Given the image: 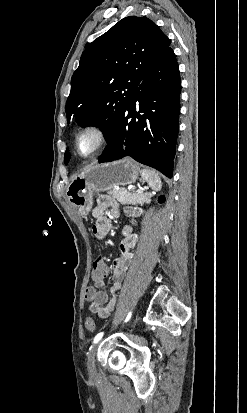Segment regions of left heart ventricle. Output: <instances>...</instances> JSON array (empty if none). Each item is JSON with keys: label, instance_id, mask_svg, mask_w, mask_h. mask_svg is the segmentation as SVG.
I'll use <instances>...</instances> for the list:
<instances>
[{"label": "left heart ventricle", "instance_id": "b2bd125f", "mask_svg": "<svg viewBox=\"0 0 247 413\" xmlns=\"http://www.w3.org/2000/svg\"><path fill=\"white\" fill-rule=\"evenodd\" d=\"M98 142V137L95 134L88 133L81 138V150L83 153L88 154Z\"/></svg>", "mask_w": 247, "mask_h": 413}]
</instances>
